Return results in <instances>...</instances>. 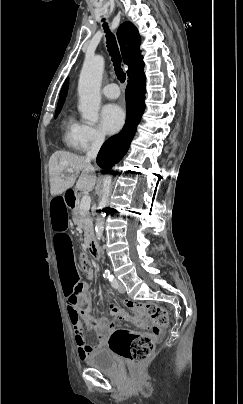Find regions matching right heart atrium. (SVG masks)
Listing matches in <instances>:
<instances>
[{"label":"right heart atrium","instance_id":"obj_1","mask_svg":"<svg viewBox=\"0 0 243 404\" xmlns=\"http://www.w3.org/2000/svg\"><path fill=\"white\" fill-rule=\"evenodd\" d=\"M105 141L104 134L95 126L86 122H77L74 128L70 148L78 153L100 148Z\"/></svg>","mask_w":243,"mask_h":404}]
</instances>
